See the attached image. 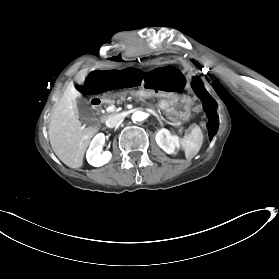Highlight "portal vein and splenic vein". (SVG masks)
Wrapping results in <instances>:
<instances>
[{
    "label": "portal vein and splenic vein",
    "instance_id": "1",
    "mask_svg": "<svg viewBox=\"0 0 279 279\" xmlns=\"http://www.w3.org/2000/svg\"><path fill=\"white\" fill-rule=\"evenodd\" d=\"M115 106L114 105H111V106H109V107H107V111L108 112H112V111H114L115 110ZM186 131V128H182L181 130H179V134H182L183 132H185Z\"/></svg>",
    "mask_w": 279,
    "mask_h": 279
}]
</instances>
